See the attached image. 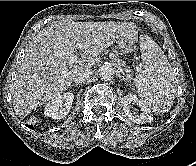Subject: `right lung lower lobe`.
<instances>
[{"mask_svg": "<svg viewBox=\"0 0 196 166\" xmlns=\"http://www.w3.org/2000/svg\"><path fill=\"white\" fill-rule=\"evenodd\" d=\"M28 127H30L31 129H33V126H30V125H29Z\"/></svg>", "mask_w": 196, "mask_h": 166, "instance_id": "right-lung-lower-lobe-1", "label": "right lung lower lobe"}]
</instances>
